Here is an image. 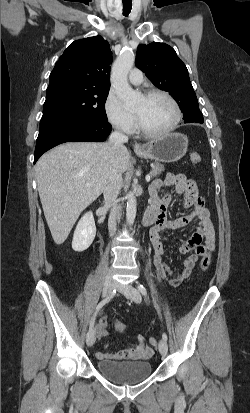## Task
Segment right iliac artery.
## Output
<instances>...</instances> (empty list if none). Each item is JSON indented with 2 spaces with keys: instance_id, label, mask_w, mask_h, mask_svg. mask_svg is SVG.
<instances>
[{
  "instance_id": "1",
  "label": "right iliac artery",
  "mask_w": 250,
  "mask_h": 413,
  "mask_svg": "<svg viewBox=\"0 0 250 413\" xmlns=\"http://www.w3.org/2000/svg\"><path fill=\"white\" fill-rule=\"evenodd\" d=\"M115 293H116V290H113V292L111 293V295H110L109 297H107L106 299L102 300V301L97 305V307H96V309H95V312H94V314H93V316H92V318H91V320H90V324H89V328H90V329H92L93 326H94V323H95V320H96V317H97V314H98L99 310H100L106 303H108V302L113 298V296L115 295Z\"/></svg>"
}]
</instances>
